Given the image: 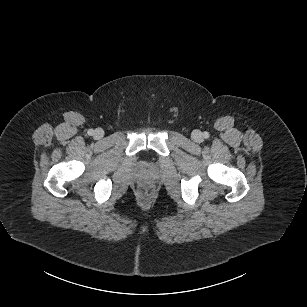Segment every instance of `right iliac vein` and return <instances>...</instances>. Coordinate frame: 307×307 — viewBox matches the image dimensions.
Wrapping results in <instances>:
<instances>
[{
  "mask_svg": "<svg viewBox=\"0 0 307 307\" xmlns=\"http://www.w3.org/2000/svg\"><path fill=\"white\" fill-rule=\"evenodd\" d=\"M103 136H104V131L102 129L98 128L94 131V137L96 139H101Z\"/></svg>",
  "mask_w": 307,
  "mask_h": 307,
  "instance_id": "right-iliac-vein-1",
  "label": "right iliac vein"
}]
</instances>
